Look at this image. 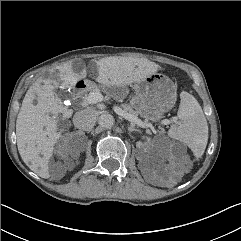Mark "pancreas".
Masks as SVG:
<instances>
[{
  "mask_svg": "<svg viewBox=\"0 0 241 241\" xmlns=\"http://www.w3.org/2000/svg\"><path fill=\"white\" fill-rule=\"evenodd\" d=\"M91 92H100V88L98 86H94L92 88V90L90 91V93ZM89 94H84V96H82V105L83 106H87L88 104H91L89 101ZM122 107H123L124 111H126L127 113H129L133 116H137L136 112L129 105L125 104Z\"/></svg>",
  "mask_w": 241,
  "mask_h": 241,
  "instance_id": "pancreas-1",
  "label": "pancreas"
}]
</instances>
